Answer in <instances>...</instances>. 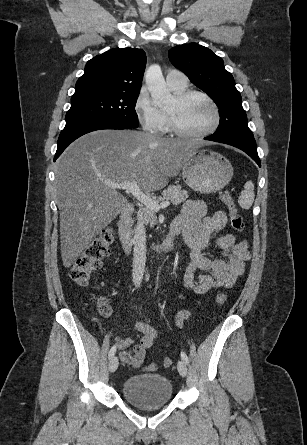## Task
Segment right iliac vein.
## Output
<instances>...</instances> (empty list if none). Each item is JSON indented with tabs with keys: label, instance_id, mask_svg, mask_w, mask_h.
<instances>
[{
	"label": "right iliac vein",
	"instance_id": "obj_1",
	"mask_svg": "<svg viewBox=\"0 0 307 445\" xmlns=\"http://www.w3.org/2000/svg\"><path fill=\"white\" fill-rule=\"evenodd\" d=\"M118 364H119L118 358L116 356H113L109 362V371L115 372L116 369L118 368Z\"/></svg>",
	"mask_w": 307,
	"mask_h": 445
}]
</instances>
